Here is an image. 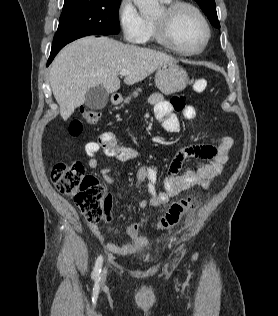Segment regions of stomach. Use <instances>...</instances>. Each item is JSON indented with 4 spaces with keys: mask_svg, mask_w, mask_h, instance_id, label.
I'll use <instances>...</instances> for the list:
<instances>
[{
    "mask_svg": "<svg viewBox=\"0 0 278 316\" xmlns=\"http://www.w3.org/2000/svg\"><path fill=\"white\" fill-rule=\"evenodd\" d=\"M188 81L187 72L176 62L159 66L155 74L157 88L166 95L184 90Z\"/></svg>",
    "mask_w": 278,
    "mask_h": 316,
    "instance_id": "stomach-1",
    "label": "stomach"
}]
</instances>
